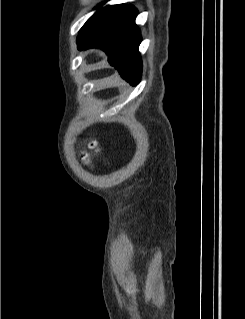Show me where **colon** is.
Masks as SVG:
<instances>
[{"label":"colon","instance_id":"obj_1","mask_svg":"<svg viewBox=\"0 0 245 319\" xmlns=\"http://www.w3.org/2000/svg\"><path fill=\"white\" fill-rule=\"evenodd\" d=\"M87 146H88V149L90 150H97V144L94 141L89 142ZM82 159L84 160L87 159V155H83Z\"/></svg>","mask_w":245,"mask_h":319}]
</instances>
